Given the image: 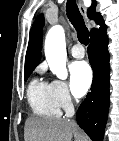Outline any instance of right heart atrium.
Here are the masks:
<instances>
[{
    "label": "right heart atrium",
    "mask_w": 119,
    "mask_h": 141,
    "mask_svg": "<svg viewBox=\"0 0 119 141\" xmlns=\"http://www.w3.org/2000/svg\"><path fill=\"white\" fill-rule=\"evenodd\" d=\"M51 86L60 107L65 110L70 109L73 105V98L68 85L62 80H53Z\"/></svg>",
    "instance_id": "1"
}]
</instances>
